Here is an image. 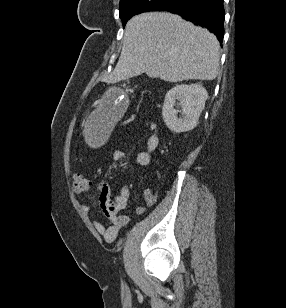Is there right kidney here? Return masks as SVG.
Listing matches in <instances>:
<instances>
[{
  "label": "right kidney",
  "instance_id": "1",
  "mask_svg": "<svg viewBox=\"0 0 286 308\" xmlns=\"http://www.w3.org/2000/svg\"><path fill=\"white\" fill-rule=\"evenodd\" d=\"M207 97V91L200 84H181L170 89L162 108L166 126L175 133L192 130L197 125ZM176 100L180 101L182 117L177 116Z\"/></svg>",
  "mask_w": 286,
  "mask_h": 308
}]
</instances>
